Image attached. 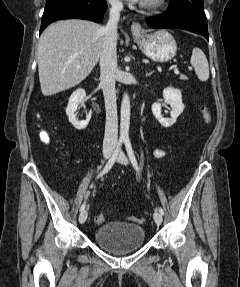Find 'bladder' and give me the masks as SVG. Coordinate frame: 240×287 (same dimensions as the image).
<instances>
[{
    "label": "bladder",
    "mask_w": 240,
    "mask_h": 287,
    "mask_svg": "<svg viewBox=\"0 0 240 287\" xmlns=\"http://www.w3.org/2000/svg\"><path fill=\"white\" fill-rule=\"evenodd\" d=\"M94 242L106 251L123 255L145 243L144 228L137 224L113 221L101 225L93 234Z\"/></svg>",
    "instance_id": "31cf9c89"
}]
</instances>
